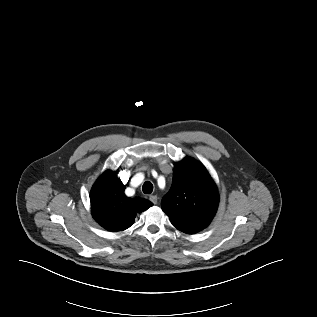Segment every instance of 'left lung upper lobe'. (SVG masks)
<instances>
[{
	"mask_svg": "<svg viewBox=\"0 0 317 317\" xmlns=\"http://www.w3.org/2000/svg\"><path fill=\"white\" fill-rule=\"evenodd\" d=\"M217 206V190L206 169L191 158L177 163L171 188L161 202L173 226L198 232L209 225Z\"/></svg>",
	"mask_w": 317,
	"mask_h": 317,
	"instance_id": "obj_1",
	"label": "left lung upper lobe"
}]
</instances>
